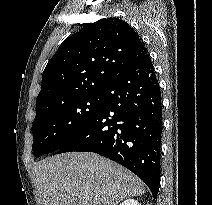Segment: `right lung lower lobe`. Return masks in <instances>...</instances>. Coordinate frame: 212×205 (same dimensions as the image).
Returning a JSON list of instances; mask_svg holds the SVG:
<instances>
[{"instance_id": "right-lung-lower-lobe-1", "label": "right lung lower lobe", "mask_w": 212, "mask_h": 205, "mask_svg": "<svg viewBox=\"0 0 212 205\" xmlns=\"http://www.w3.org/2000/svg\"><path fill=\"white\" fill-rule=\"evenodd\" d=\"M103 102L58 153L95 152L135 173L157 197L162 135L161 91L149 54L101 91Z\"/></svg>"}]
</instances>
